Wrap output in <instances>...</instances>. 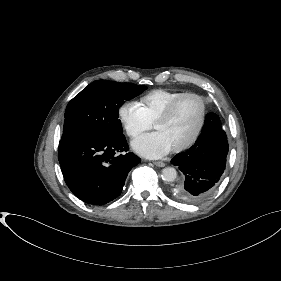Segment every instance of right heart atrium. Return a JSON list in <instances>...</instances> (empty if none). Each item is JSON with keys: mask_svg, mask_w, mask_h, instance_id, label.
Instances as JSON below:
<instances>
[{"mask_svg": "<svg viewBox=\"0 0 281 281\" xmlns=\"http://www.w3.org/2000/svg\"><path fill=\"white\" fill-rule=\"evenodd\" d=\"M118 118L127 135L136 138L151 128V122L135 101H126L118 108Z\"/></svg>", "mask_w": 281, "mask_h": 281, "instance_id": "1", "label": "right heart atrium"}]
</instances>
